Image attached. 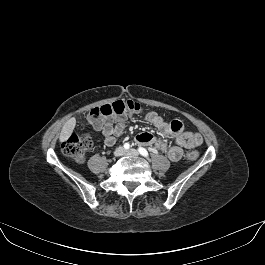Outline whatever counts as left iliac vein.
<instances>
[{"instance_id": "left-iliac-vein-1", "label": "left iliac vein", "mask_w": 265, "mask_h": 265, "mask_svg": "<svg viewBox=\"0 0 265 265\" xmlns=\"http://www.w3.org/2000/svg\"><path fill=\"white\" fill-rule=\"evenodd\" d=\"M125 154L129 156H139V152L135 149L126 150Z\"/></svg>"}]
</instances>
